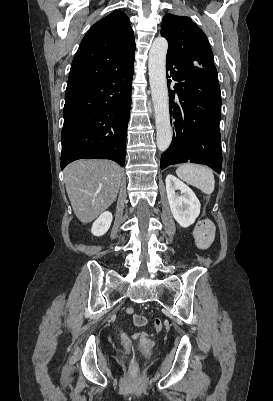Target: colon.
Returning a JSON list of instances; mask_svg holds the SVG:
<instances>
[{
	"label": "colon",
	"mask_w": 273,
	"mask_h": 401,
	"mask_svg": "<svg viewBox=\"0 0 273 401\" xmlns=\"http://www.w3.org/2000/svg\"><path fill=\"white\" fill-rule=\"evenodd\" d=\"M201 226L205 229V230H210V228L212 227V223L210 220H203L201 222ZM198 240L199 241H212L213 240V233L212 232H199L198 233ZM134 321L137 325V327L142 328L145 325V318L143 313L138 312L135 315ZM129 372L131 373L130 378L132 380H135L137 378V375L140 374L141 369L138 365V363L133 362L130 365V369Z\"/></svg>",
	"instance_id": "obj_1"
}]
</instances>
